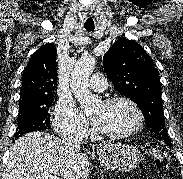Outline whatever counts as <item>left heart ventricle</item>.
Wrapping results in <instances>:
<instances>
[{
    "label": "left heart ventricle",
    "mask_w": 183,
    "mask_h": 179,
    "mask_svg": "<svg viewBox=\"0 0 183 179\" xmlns=\"http://www.w3.org/2000/svg\"><path fill=\"white\" fill-rule=\"evenodd\" d=\"M99 119V130L120 133L132 128L136 115L130 105L118 102L112 105L100 104L93 113Z\"/></svg>",
    "instance_id": "b2bd125f"
}]
</instances>
